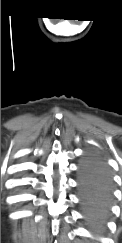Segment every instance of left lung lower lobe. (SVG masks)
I'll use <instances>...</instances> for the list:
<instances>
[{
  "instance_id": "0a47b994",
  "label": "left lung lower lobe",
  "mask_w": 122,
  "mask_h": 243,
  "mask_svg": "<svg viewBox=\"0 0 122 243\" xmlns=\"http://www.w3.org/2000/svg\"><path fill=\"white\" fill-rule=\"evenodd\" d=\"M78 191L87 224L93 231L100 232L109 212L112 179L107 165L99 156L88 154L82 160Z\"/></svg>"
}]
</instances>
